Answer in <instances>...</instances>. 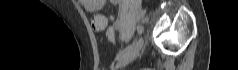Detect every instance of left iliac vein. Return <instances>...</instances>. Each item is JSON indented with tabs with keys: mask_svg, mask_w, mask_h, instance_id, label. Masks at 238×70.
I'll return each instance as SVG.
<instances>
[{
	"mask_svg": "<svg viewBox=\"0 0 238 70\" xmlns=\"http://www.w3.org/2000/svg\"><path fill=\"white\" fill-rule=\"evenodd\" d=\"M143 42H144L143 37H140L135 43L134 47L131 50H129V52L124 57L118 60L116 65L113 67V70L121 69L125 67L127 64H129L141 50Z\"/></svg>",
	"mask_w": 238,
	"mask_h": 70,
	"instance_id": "4c4485c4",
	"label": "left iliac vein"
}]
</instances>
